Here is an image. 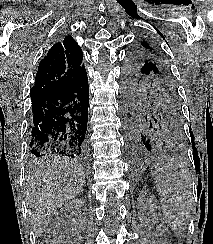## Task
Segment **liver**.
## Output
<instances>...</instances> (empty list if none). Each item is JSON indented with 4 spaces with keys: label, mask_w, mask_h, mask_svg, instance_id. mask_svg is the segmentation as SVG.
<instances>
[{
    "label": "liver",
    "mask_w": 213,
    "mask_h": 244,
    "mask_svg": "<svg viewBox=\"0 0 213 244\" xmlns=\"http://www.w3.org/2000/svg\"><path fill=\"white\" fill-rule=\"evenodd\" d=\"M84 183L81 166L64 157L42 160L27 173L26 203L37 236L45 231L56 211L82 191Z\"/></svg>",
    "instance_id": "liver-1"
}]
</instances>
